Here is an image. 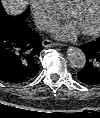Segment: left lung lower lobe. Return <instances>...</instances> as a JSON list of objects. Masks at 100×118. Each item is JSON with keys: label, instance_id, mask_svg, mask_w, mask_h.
Listing matches in <instances>:
<instances>
[{"label": "left lung lower lobe", "instance_id": "left-lung-lower-lobe-1", "mask_svg": "<svg viewBox=\"0 0 100 118\" xmlns=\"http://www.w3.org/2000/svg\"><path fill=\"white\" fill-rule=\"evenodd\" d=\"M80 48L85 54L86 64L77 73L78 80L89 86L100 85V37Z\"/></svg>", "mask_w": 100, "mask_h": 118}]
</instances>
